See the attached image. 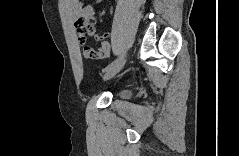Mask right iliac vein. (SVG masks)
Instances as JSON below:
<instances>
[{
	"label": "right iliac vein",
	"instance_id": "right-iliac-vein-1",
	"mask_svg": "<svg viewBox=\"0 0 239 156\" xmlns=\"http://www.w3.org/2000/svg\"><path fill=\"white\" fill-rule=\"evenodd\" d=\"M125 58L123 57L120 61H118L114 66L110 67L103 76V80H109L114 77L124 66Z\"/></svg>",
	"mask_w": 239,
	"mask_h": 156
}]
</instances>
